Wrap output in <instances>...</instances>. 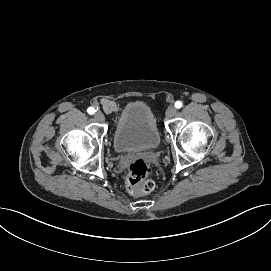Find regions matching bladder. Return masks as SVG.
I'll use <instances>...</instances> for the list:
<instances>
[{"instance_id": "31cf9c89", "label": "bladder", "mask_w": 271, "mask_h": 271, "mask_svg": "<svg viewBox=\"0 0 271 271\" xmlns=\"http://www.w3.org/2000/svg\"><path fill=\"white\" fill-rule=\"evenodd\" d=\"M160 145V133L151 109L144 103L128 104L113 134V147L117 153L128 151H154Z\"/></svg>"}]
</instances>
